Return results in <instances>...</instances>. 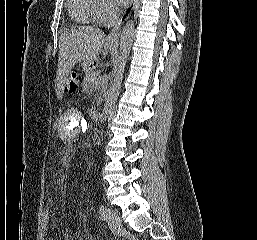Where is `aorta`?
<instances>
[{"label":"aorta","instance_id":"obj_1","mask_svg":"<svg viewBox=\"0 0 257 240\" xmlns=\"http://www.w3.org/2000/svg\"><path fill=\"white\" fill-rule=\"evenodd\" d=\"M134 36H135L134 22L133 20H129L127 21V23L122 29V33L120 37V52H119L118 63L114 67V71H113L114 79L107 92V99L105 101L103 112L100 117L101 122L106 121V119L110 115L115 105L117 97L119 96L126 62L131 51Z\"/></svg>","mask_w":257,"mask_h":240}]
</instances>
